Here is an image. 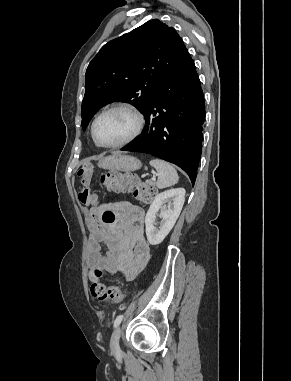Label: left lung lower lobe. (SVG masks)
Returning a JSON list of instances; mask_svg holds the SVG:
<instances>
[{
  "mask_svg": "<svg viewBox=\"0 0 291 381\" xmlns=\"http://www.w3.org/2000/svg\"><path fill=\"white\" fill-rule=\"evenodd\" d=\"M143 114V133L121 150L148 153L174 163L194 184L201 157L205 102L188 52L151 96Z\"/></svg>",
  "mask_w": 291,
  "mask_h": 381,
  "instance_id": "left-lung-lower-lobe-1",
  "label": "left lung lower lobe"
}]
</instances>
